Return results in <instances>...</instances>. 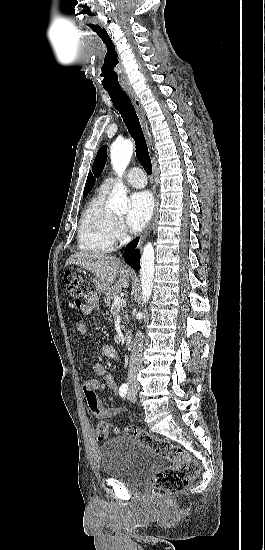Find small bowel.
<instances>
[{"instance_id": "obj_1", "label": "small bowel", "mask_w": 265, "mask_h": 550, "mask_svg": "<svg viewBox=\"0 0 265 550\" xmlns=\"http://www.w3.org/2000/svg\"><path fill=\"white\" fill-rule=\"evenodd\" d=\"M99 306V299L94 292H90L86 297L82 305L81 312L84 314L93 313ZM77 333L84 335L86 333V327L82 323L75 325ZM101 354L109 359L116 360L117 352L111 344H103L101 346ZM93 373L102 377V380L89 379L85 381L83 385V392L85 394L88 408L97 418L105 419L115 416L118 412L117 408H107L103 405L100 399L96 396V391L104 390L105 388L116 390V379L112 373H109L101 364H95L92 368Z\"/></svg>"}]
</instances>
